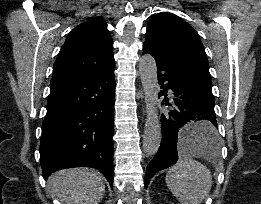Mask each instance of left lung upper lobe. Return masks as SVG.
<instances>
[{
	"label": "left lung upper lobe",
	"mask_w": 261,
	"mask_h": 204,
	"mask_svg": "<svg viewBox=\"0 0 261 204\" xmlns=\"http://www.w3.org/2000/svg\"><path fill=\"white\" fill-rule=\"evenodd\" d=\"M144 46L165 61L180 65L212 83L208 59L197 32L178 16L161 12L152 17Z\"/></svg>",
	"instance_id": "left-lung-upper-lobe-1"
}]
</instances>
